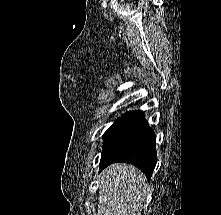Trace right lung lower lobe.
<instances>
[{
  "mask_svg": "<svg viewBox=\"0 0 221 215\" xmlns=\"http://www.w3.org/2000/svg\"><path fill=\"white\" fill-rule=\"evenodd\" d=\"M155 133L140 111L123 115L104 140L100 170L116 162L138 167L151 178L157 162Z\"/></svg>",
  "mask_w": 221,
  "mask_h": 215,
  "instance_id": "obj_1",
  "label": "right lung lower lobe"
}]
</instances>
